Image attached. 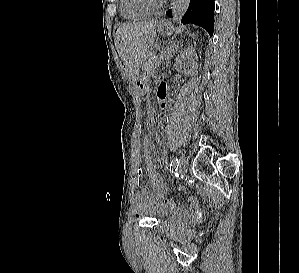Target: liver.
<instances>
[{
    "instance_id": "1",
    "label": "liver",
    "mask_w": 299,
    "mask_h": 273,
    "mask_svg": "<svg viewBox=\"0 0 299 273\" xmlns=\"http://www.w3.org/2000/svg\"><path fill=\"white\" fill-rule=\"evenodd\" d=\"M158 23L157 20L128 22L117 29L115 46L132 78H137L145 54L154 43Z\"/></svg>"
}]
</instances>
